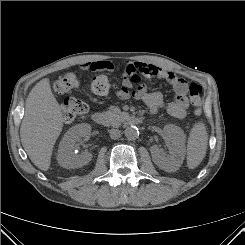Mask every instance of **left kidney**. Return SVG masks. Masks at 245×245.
Listing matches in <instances>:
<instances>
[{
  "instance_id": "1",
  "label": "left kidney",
  "mask_w": 245,
  "mask_h": 245,
  "mask_svg": "<svg viewBox=\"0 0 245 245\" xmlns=\"http://www.w3.org/2000/svg\"><path fill=\"white\" fill-rule=\"evenodd\" d=\"M164 133L171 144L169 154L157 146L150 148L152 158L157 166L165 171H174L182 164L185 157V134L183 130L173 124L165 125Z\"/></svg>"
}]
</instances>
